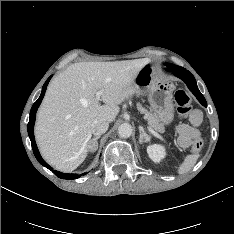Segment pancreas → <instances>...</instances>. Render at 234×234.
I'll return each mask as SVG.
<instances>
[{
  "instance_id": "cf45deb5",
  "label": "pancreas",
  "mask_w": 234,
  "mask_h": 234,
  "mask_svg": "<svg viewBox=\"0 0 234 234\" xmlns=\"http://www.w3.org/2000/svg\"><path fill=\"white\" fill-rule=\"evenodd\" d=\"M137 108L142 114H144V117L147 119L148 125L151 128L161 133L164 132V125L160 123L159 118L154 112L148 111L140 103H137Z\"/></svg>"
}]
</instances>
